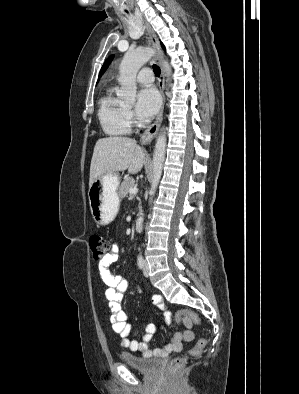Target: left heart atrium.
I'll list each match as a JSON object with an SVG mask.
<instances>
[{
    "label": "left heart atrium",
    "mask_w": 299,
    "mask_h": 394,
    "mask_svg": "<svg viewBox=\"0 0 299 394\" xmlns=\"http://www.w3.org/2000/svg\"><path fill=\"white\" fill-rule=\"evenodd\" d=\"M160 103V96L154 87L143 88L137 95L136 112L149 119L157 113Z\"/></svg>",
    "instance_id": "left-heart-atrium-1"
}]
</instances>
